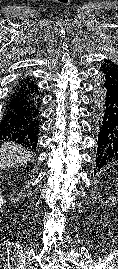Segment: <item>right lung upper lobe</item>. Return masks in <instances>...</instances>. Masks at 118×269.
Masks as SVG:
<instances>
[{
    "instance_id": "1",
    "label": "right lung upper lobe",
    "mask_w": 118,
    "mask_h": 269,
    "mask_svg": "<svg viewBox=\"0 0 118 269\" xmlns=\"http://www.w3.org/2000/svg\"><path fill=\"white\" fill-rule=\"evenodd\" d=\"M20 83H32V81H30V78H27V79H24V80H21Z\"/></svg>"
}]
</instances>
